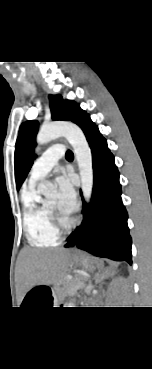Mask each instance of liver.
<instances>
[{"instance_id": "liver-1", "label": "liver", "mask_w": 152, "mask_h": 369, "mask_svg": "<svg viewBox=\"0 0 152 369\" xmlns=\"http://www.w3.org/2000/svg\"><path fill=\"white\" fill-rule=\"evenodd\" d=\"M68 253L62 249L24 248L19 255V278L26 288L49 284L63 276Z\"/></svg>"}]
</instances>
